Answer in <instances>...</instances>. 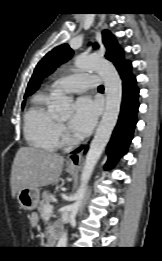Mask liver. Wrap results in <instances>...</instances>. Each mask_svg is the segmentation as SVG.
Masks as SVG:
<instances>
[{
    "mask_svg": "<svg viewBox=\"0 0 162 261\" xmlns=\"http://www.w3.org/2000/svg\"><path fill=\"white\" fill-rule=\"evenodd\" d=\"M64 157L33 147L17 151L11 170V192L15 197L23 188H38L56 184L60 180Z\"/></svg>",
    "mask_w": 162,
    "mask_h": 261,
    "instance_id": "liver-1",
    "label": "liver"
}]
</instances>
